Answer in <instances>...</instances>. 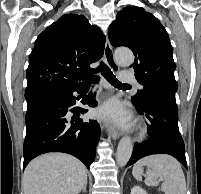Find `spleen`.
<instances>
[{
	"label": "spleen",
	"instance_id": "obj_1",
	"mask_svg": "<svg viewBox=\"0 0 201 194\" xmlns=\"http://www.w3.org/2000/svg\"><path fill=\"white\" fill-rule=\"evenodd\" d=\"M143 166H147L145 184L157 186L158 178L164 180L162 190L165 194H186V181L180 163L170 155H151L140 159L133 167L132 174L142 180Z\"/></svg>",
	"mask_w": 201,
	"mask_h": 194
}]
</instances>
